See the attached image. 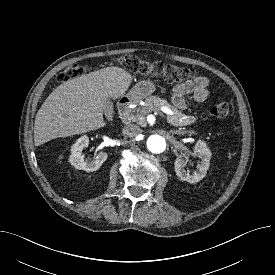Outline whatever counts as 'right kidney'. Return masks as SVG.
<instances>
[{"label":"right kidney","mask_w":275,"mask_h":275,"mask_svg":"<svg viewBox=\"0 0 275 275\" xmlns=\"http://www.w3.org/2000/svg\"><path fill=\"white\" fill-rule=\"evenodd\" d=\"M89 138L84 135L80 137L71 147V155L69 162L77 169L86 172H92L99 169V167L107 160V153L99 152L94 159H84L82 151L88 147Z\"/></svg>","instance_id":"ca27d5eb"}]
</instances>
